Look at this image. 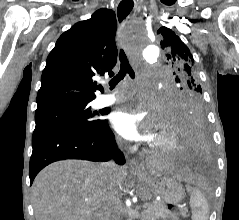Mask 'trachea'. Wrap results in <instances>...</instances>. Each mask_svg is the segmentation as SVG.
Segmentation results:
<instances>
[{
	"label": "trachea",
	"mask_w": 239,
	"mask_h": 220,
	"mask_svg": "<svg viewBox=\"0 0 239 220\" xmlns=\"http://www.w3.org/2000/svg\"><path fill=\"white\" fill-rule=\"evenodd\" d=\"M120 71L116 76H114L110 82V89L115 88V86L122 80L124 79L125 75L128 73L131 78L135 77V72L133 71L132 67L129 64V61L127 59V56L123 50H120Z\"/></svg>",
	"instance_id": "1"
}]
</instances>
